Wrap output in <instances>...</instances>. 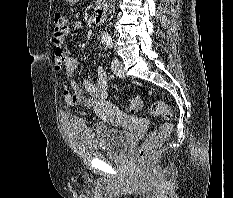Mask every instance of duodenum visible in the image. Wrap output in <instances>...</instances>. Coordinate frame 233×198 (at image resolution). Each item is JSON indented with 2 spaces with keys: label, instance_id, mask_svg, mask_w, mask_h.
Here are the masks:
<instances>
[{
  "label": "duodenum",
  "instance_id": "410a0bca",
  "mask_svg": "<svg viewBox=\"0 0 233 198\" xmlns=\"http://www.w3.org/2000/svg\"><path fill=\"white\" fill-rule=\"evenodd\" d=\"M107 10L108 6L106 3L99 4L92 15V22L94 24L102 23L106 18Z\"/></svg>",
  "mask_w": 233,
  "mask_h": 198
}]
</instances>
